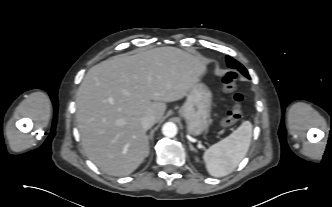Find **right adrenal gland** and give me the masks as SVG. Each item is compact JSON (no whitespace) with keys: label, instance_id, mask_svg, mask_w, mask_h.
Here are the masks:
<instances>
[{"label":"right adrenal gland","instance_id":"obj_1","mask_svg":"<svg viewBox=\"0 0 332 207\" xmlns=\"http://www.w3.org/2000/svg\"><path fill=\"white\" fill-rule=\"evenodd\" d=\"M147 143H148V148H147V154H146V156H148V154H149V136H147Z\"/></svg>","mask_w":332,"mask_h":207}]
</instances>
